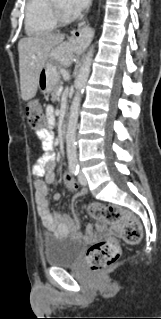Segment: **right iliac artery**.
I'll list each match as a JSON object with an SVG mask.
<instances>
[{"label":"right iliac artery","instance_id":"obj_1","mask_svg":"<svg viewBox=\"0 0 161 319\" xmlns=\"http://www.w3.org/2000/svg\"><path fill=\"white\" fill-rule=\"evenodd\" d=\"M69 171H70V173L72 174V175H77L78 174V172H79V165H71L70 167H69Z\"/></svg>","mask_w":161,"mask_h":319}]
</instances>
